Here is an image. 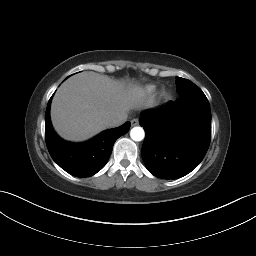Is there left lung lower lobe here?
Masks as SVG:
<instances>
[{
	"instance_id": "0a47b994",
	"label": "left lung lower lobe",
	"mask_w": 256,
	"mask_h": 256,
	"mask_svg": "<svg viewBox=\"0 0 256 256\" xmlns=\"http://www.w3.org/2000/svg\"><path fill=\"white\" fill-rule=\"evenodd\" d=\"M183 106V113L177 107ZM145 130L141 155L148 171L163 179H178L194 170L211 140V110L200 90L180 95L168 108L147 110L139 119Z\"/></svg>"
}]
</instances>
